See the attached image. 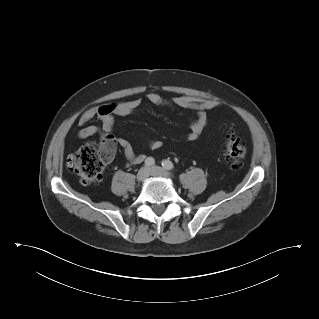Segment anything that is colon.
<instances>
[{"mask_svg":"<svg viewBox=\"0 0 319 319\" xmlns=\"http://www.w3.org/2000/svg\"><path fill=\"white\" fill-rule=\"evenodd\" d=\"M115 151L113 137H104L99 144L86 143L82 145L67 161L68 168L76 173L82 183L96 184L101 181L104 167L110 161ZM246 155L244 142L232 131L226 134L223 156L233 169L242 164Z\"/></svg>","mask_w":319,"mask_h":319,"instance_id":"5ec220e1","label":"colon"}]
</instances>
